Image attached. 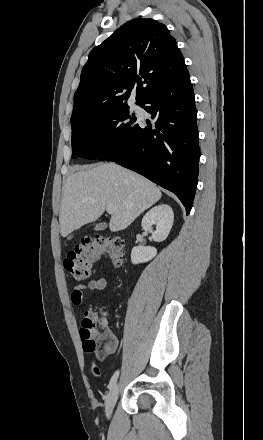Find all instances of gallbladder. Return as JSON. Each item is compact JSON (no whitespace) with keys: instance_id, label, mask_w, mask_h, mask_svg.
<instances>
[{"instance_id":"obj_1","label":"gallbladder","mask_w":263,"mask_h":440,"mask_svg":"<svg viewBox=\"0 0 263 440\" xmlns=\"http://www.w3.org/2000/svg\"><path fill=\"white\" fill-rule=\"evenodd\" d=\"M105 227H106V225L104 224V223H99V224H97L96 225V227L94 228L96 231H99V230H103V229H105ZM72 239V236H70L69 238H68V240H71Z\"/></svg>"}]
</instances>
